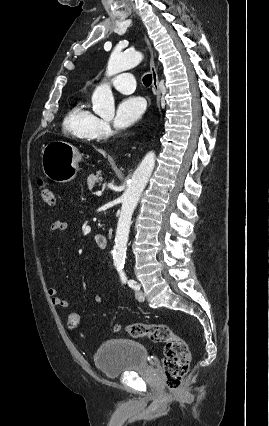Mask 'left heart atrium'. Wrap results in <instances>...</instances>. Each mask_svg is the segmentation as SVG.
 Listing matches in <instances>:
<instances>
[{
  "mask_svg": "<svg viewBox=\"0 0 269 426\" xmlns=\"http://www.w3.org/2000/svg\"><path fill=\"white\" fill-rule=\"evenodd\" d=\"M145 111V102L140 97H128L117 106L114 125L117 129H126L134 125Z\"/></svg>",
  "mask_w": 269,
  "mask_h": 426,
  "instance_id": "obj_1",
  "label": "left heart atrium"
}]
</instances>
